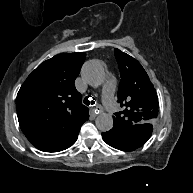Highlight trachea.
Listing matches in <instances>:
<instances>
[{
	"mask_svg": "<svg viewBox=\"0 0 193 193\" xmlns=\"http://www.w3.org/2000/svg\"><path fill=\"white\" fill-rule=\"evenodd\" d=\"M89 97L90 96H86L85 98H84V103L87 105V106H89V105H94L95 104V101H93V100H89ZM94 99V98H93Z\"/></svg>",
	"mask_w": 193,
	"mask_h": 193,
	"instance_id": "trachea-1",
	"label": "trachea"
}]
</instances>
